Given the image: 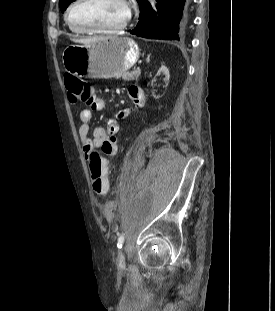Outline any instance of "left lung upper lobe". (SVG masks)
<instances>
[{
	"mask_svg": "<svg viewBox=\"0 0 275 311\" xmlns=\"http://www.w3.org/2000/svg\"><path fill=\"white\" fill-rule=\"evenodd\" d=\"M73 1L75 0H60V9H61V12H63L64 10H66V8L69 6V4H71ZM144 0H137V2L139 3V6L142 5V2Z\"/></svg>",
	"mask_w": 275,
	"mask_h": 311,
	"instance_id": "1",
	"label": "left lung upper lobe"
}]
</instances>
